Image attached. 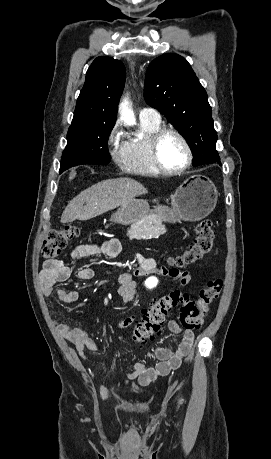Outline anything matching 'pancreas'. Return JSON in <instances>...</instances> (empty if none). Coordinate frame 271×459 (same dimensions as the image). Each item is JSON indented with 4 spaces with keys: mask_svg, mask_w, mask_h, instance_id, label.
<instances>
[{
    "mask_svg": "<svg viewBox=\"0 0 271 459\" xmlns=\"http://www.w3.org/2000/svg\"><path fill=\"white\" fill-rule=\"evenodd\" d=\"M141 225L143 227L139 228L137 224H134L133 228L135 230L132 232V237L134 239H156L158 233H165L166 231L165 226L162 224V220H158V218L144 219ZM129 233H131V229H129Z\"/></svg>",
    "mask_w": 271,
    "mask_h": 459,
    "instance_id": "cf45deb5",
    "label": "pancreas"
}]
</instances>
